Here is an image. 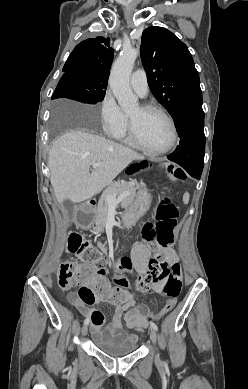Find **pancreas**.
Masks as SVG:
<instances>
[{"label": "pancreas", "instance_id": "pancreas-1", "mask_svg": "<svg viewBox=\"0 0 248 389\" xmlns=\"http://www.w3.org/2000/svg\"><path fill=\"white\" fill-rule=\"evenodd\" d=\"M140 188L139 184L136 182H117L110 185L105 193L101 196L97 211H96V230L101 233L104 230V227L107 222L109 204L107 202V195L111 194L113 196H119L122 193H127L125 198L122 200V205L128 209L132 207L135 198L136 191Z\"/></svg>", "mask_w": 248, "mask_h": 389}]
</instances>
